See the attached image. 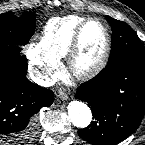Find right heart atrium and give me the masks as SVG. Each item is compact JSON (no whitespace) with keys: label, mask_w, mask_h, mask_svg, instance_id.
Returning <instances> with one entry per match:
<instances>
[{"label":"right heart atrium","mask_w":145,"mask_h":145,"mask_svg":"<svg viewBox=\"0 0 145 145\" xmlns=\"http://www.w3.org/2000/svg\"><path fill=\"white\" fill-rule=\"evenodd\" d=\"M30 60L37 77L43 81H53L60 70V61L41 54L36 46L30 51Z\"/></svg>","instance_id":"1"}]
</instances>
